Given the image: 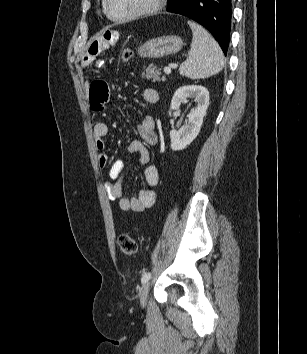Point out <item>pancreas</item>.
I'll return each instance as SVG.
<instances>
[{
	"mask_svg": "<svg viewBox=\"0 0 307 354\" xmlns=\"http://www.w3.org/2000/svg\"><path fill=\"white\" fill-rule=\"evenodd\" d=\"M161 68L155 65H149L143 69L142 77L152 79L153 81L165 80V76L161 73Z\"/></svg>",
	"mask_w": 307,
	"mask_h": 354,
	"instance_id": "1",
	"label": "pancreas"
}]
</instances>
